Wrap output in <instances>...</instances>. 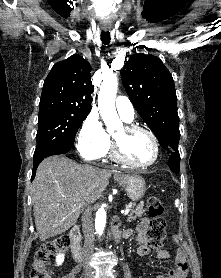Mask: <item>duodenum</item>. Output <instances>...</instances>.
<instances>
[{
    "label": "duodenum",
    "instance_id": "obj_1",
    "mask_svg": "<svg viewBox=\"0 0 221 278\" xmlns=\"http://www.w3.org/2000/svg\"><path fill=\"white\" fill-rule=\"evenodd\" d=\"M112 233L117 237H122L123 235L128 236L126 233L122 234L118 224H114L111 228ZM71 240V253L75 261L79 262L82 258L83 250L81 247V231L79 227H74L70 231Z\"/></svg>",
    "mask_w": 221,
    "mask_h": 278
}]
</instances>
